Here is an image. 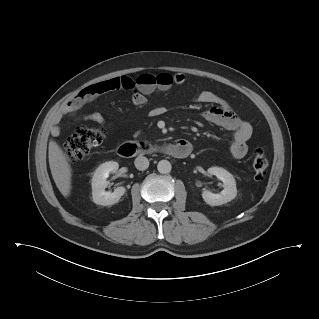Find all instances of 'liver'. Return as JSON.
Returning a JSON list of instances; mask_svg holds the SVG:
<instances>
[{
    "mask_svg": "<svg viewBox=\"0 0 319 319\" xmlns=\"http://www.w3.org/2000/svg\"><path fill=\"white\" fill-rule=\"evenodd\" d=\"M49 166L54 182L64 197L71 192L72 169L61 147L53 140L48 147Z\"/></svg>",
    "mask_w": 319,
    "mask_h": 319,
    "instance_id": "1",
    "label": "liver"
}]
</instances>
